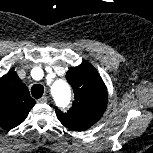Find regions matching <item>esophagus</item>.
<instances>
[{
  "mask_svg": "<svg viewBox=\"0 0 153 153\" xmlns=\"http://www.w3.org/2000/svg\"><path fill=\"white\" fill-rule=\"evenodd\" d=\"M47 101H48V97L46 96H43L42 98L37 100L38 103H47Z\"/></svg>",
  "mask_w": 153,
  "mask_h": 153,
  "instance_id": "esophagus-1",
  "label": "esophagus"
}]
</instances>
